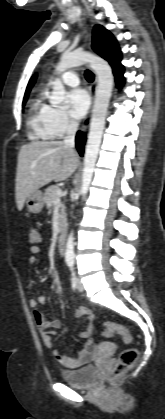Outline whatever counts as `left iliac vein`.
I'll return each mask as SVG.
<instances>
[{"instance_id": "obj_1", "label": "left iliac vein", "mask_w": 165, "mask_h": 419, "mask_svg": "<svg viewBox=\"0 0 165 419\" xmlns=\"http://www.w3.org/2000/svg\"><path fill=\"white\" fill-rule=\"evenodd\" d=\"M77 290L82 292L83 291V285L80 281V279H77Z\"/></svg>"}]
</instances>
